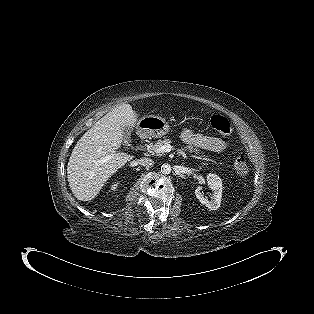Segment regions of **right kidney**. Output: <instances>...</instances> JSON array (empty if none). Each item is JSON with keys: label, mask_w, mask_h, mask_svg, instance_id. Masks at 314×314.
<instances>
[{"label": "right kidney", "mask_w": 314, "mask_h": 314, "mask_svg": "<svg viewBox=\"0 0 314 314\" xmlns=\"http://www.w3.org/2000/svg\"><path fill=\"white\" fill-rule=\"evenodd\" d=\"M117 186H118V183L113 184V185L111 186V190L115 191V189L117 188Z\"/></svg>", "instance_id": "ca27d5eb"}]
</instances>
